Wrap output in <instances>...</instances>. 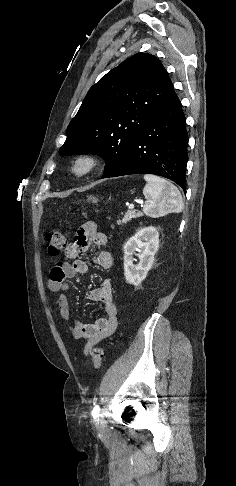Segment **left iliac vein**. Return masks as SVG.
<instances>
[{
    "label": "left iliac vein",
    "instance_id": "obj_1",
    "mask_svg": "<svg viewBox=\"0 0 236 486\" xmlns=\"http://www.w3.org/2000/svg\"><path fill=\"white\" fill-rule=\"evenodd\" d=\"M99 429L102 434H105L107 431L106 422L102 417L99 418Z\"/></svg>",
    "mask_w": 236,
    "mask_h": 486
}]
</instances>
